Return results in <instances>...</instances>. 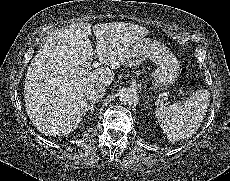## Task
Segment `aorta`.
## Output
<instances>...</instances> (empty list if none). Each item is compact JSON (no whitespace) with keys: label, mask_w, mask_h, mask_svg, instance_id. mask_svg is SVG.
<instances>
[{"label":"aorta","mask_w":230,"mask_h":181,"mask_svg":"<svg viewBox=\"0 0 230 181\" xmlns=\"http://www.w3.org/2000/svg\"><path fill=\"white\" fill-rule=\"evenodd\" d=\"M119 100L123 105H136L139 101L137 93L130 88H123L119 92Z\"/></svg>","instance_id":"1"}]
</instances>
